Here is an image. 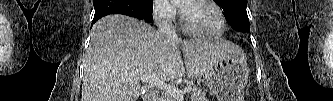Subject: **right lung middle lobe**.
<instances>
[{
	"mask_svg": "<svg viewBox=\"0 0 333 101\" xmlns=\"http://www.w3.org/2000/svg\"><path fill=\"white\" fill-rule=\"evenodd\" d=\"M140 2L143 4L145 9H147L150 12V14H152L153 0H140Z\"/></svg>",
	"mask_w": 333,
	"mask_h": 101,
	"instance_id": "1",
	"label": "right lung middle lobe"
}]
</instances>
